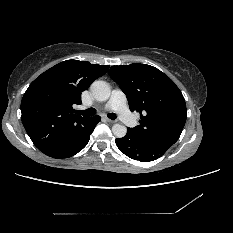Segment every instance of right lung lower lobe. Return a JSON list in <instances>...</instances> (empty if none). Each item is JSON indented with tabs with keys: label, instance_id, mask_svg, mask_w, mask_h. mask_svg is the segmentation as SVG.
<instances>
[{
	"label": "right lung lower lobe",
	"instance_id": "obj_1",
	"mask_svg": "<svg viewBox=\"0 0 233 233\" xmlns=\"http://www.w3.org/2000/svg\"><path fill=\"white\" fill-rule=\"evenodd\" d=\"M99 121L100 117L98 115L88 118L67 141L44 154L57 159L68 158L75 155L87 145L90 134Z\"/></svg>",
	"mask_w": 233,
	"mask_h": 233
}]
</instances>
